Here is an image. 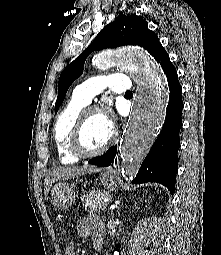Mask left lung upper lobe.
<instances>
[{
	"label": "left lung upper lobe",
	"mask_w": 221,
	"mask_h": 255,
	"mask_svg": "<svg viewBox=\"0 0 221 255\" xmlns=\"http://www.w3.org/2000/svg\"><path fill=\"white\" fill-rule=\"evenodd\" d=\"M124 45H138L146 49L153 57L162 48L157 35L148 29V23L143 17L119 15L115 21L106 25L94 41L61 73L58 82V97L55 112L62 104L69 86L80 77L87 56L96 50L116 48Z\"/></svg>",
	"instance_id": "left-lung-upper-lobe-1"
}]
</instances>
